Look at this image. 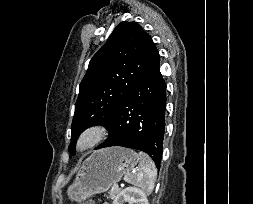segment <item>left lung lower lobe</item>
Returning a JSON list of instances; mask_svg holds the SVG:
<instances>
[{
    "instance_id": "obj_1",
    "label": "left lung lower lobe",
    "mask_w": 253,
    "mask_h": 204,
    "mask_svg": "<svg viewBox=\"0 0 253 204\" xmlns=\"http://www.w3.org/2000/svg\"><path fill=\"white\" fill-rule=\"evenodd\" d=\"M154 52L145 72L106 127L108 139L96 147L123 146L146 152L160 167L165 132L166 83Z\"/></svg>"
}]
</instances>
